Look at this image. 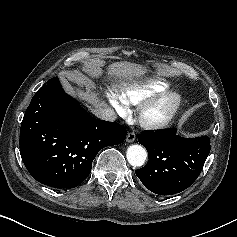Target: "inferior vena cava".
<instances>
[{"mask_svg":"<svg viewBox=\"0 0 237 237\" xmlns=\"http://www.w3.org/2000/svg\"><path fill=\"white\" fill-rule=\"evenodd\" d=\"M92 113L96 117L106 121H115L117 118L115 111L109 107H97L93 109Z\"/></svg>","mask_w":237,"mask_h":237,"instance_id":"inferior-vena-cava-1","label":"inferior vena cava"}]
</instances>
